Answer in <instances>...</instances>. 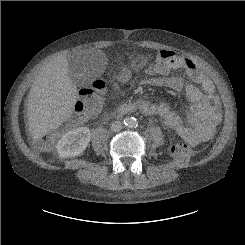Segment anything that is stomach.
Wrapping results in <instances>:
<instances>
[{"label":"stomach","instance_id":"obj_1","mask_svg":"<svg viewBox=\"0 0 245 245\" xmlns=\"http://www.w3.org/2000/svg\"><path fill=\"white\" fill-rule=\"evenodd\" d=\"M148 60L149 58L146 56H139L132 61L131 67L135 70L142 69L146 65Z\"/></svg>","mask_w":245,"mask_h":245}]
</instances>
